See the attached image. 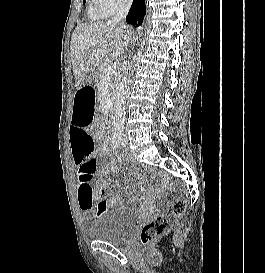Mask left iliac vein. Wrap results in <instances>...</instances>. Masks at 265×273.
Returning <instances> with one entry per match:
<instances>
[{
    "label": "left iliac vein",
    "mask_w": 265,
    "mask_h": 273,
    "mask_svg": "<svg viewBox=\"0 0 265 273\" xmlns=\"http://www.w3.org/2000/svg\"><path fill=\"white\" fill-rule=\"evenodd\" d=\"M120 143L124 146L128 144V136L126 134V132L123 133L121 139H120Z\"/></svg>",
    "instance_id": "4c4485c4"
}]
</instances>
